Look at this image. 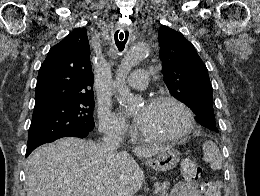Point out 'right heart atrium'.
Segmentation results:
<instances>
[{"label": "right heart atrium", "mask_w": 260, "mask_h": 196, "mask_svg": "<svg viewBox=\"0 0 260 196\" xmlns=\"http://www.w3.org/2000/svg\"><path fill=\"white\" fill-rule=\"evenodd\" d=\"M98 118L100 129L103 132L128 129L125 119L119 113L113 111L110 105L100 107Z\"/></svg>", "instance_id": "obj_1"}]
</instances>
